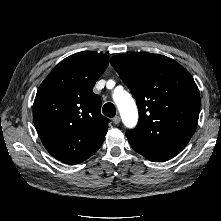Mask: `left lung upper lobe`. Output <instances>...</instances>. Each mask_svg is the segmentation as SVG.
Listing matches in <instances>:
<instances>
[{
	"mask_svg": "<svg viewBox=\"0 0 221 221\" xmlns=\"http://www.w3.org/2000/svg\"><path fill=\"white\" fill-rule=\"evenodd\" d=\"M111 64L136 99L139 123L126 132L131 147L152 161L178 155L193 136L200 94L190 73L159 54L117 55Z\"/></svg>",
	"mask_w": 221,
	"mask_h": 221,
	"instance_id": "1",
	"label": "left lung upper lobe"
}]
</instances>
